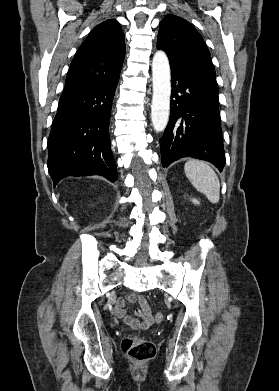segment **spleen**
Masks as SVG:
<instances>
[{
	"mask_svg": "<svg viewBox=\"0 0 279 391\" xmlns=\"http://www.w3.org/2000/svg\"><path fill=\"white\" fill-rule=\"evenodd\" d=\"M186 177L192 185L203 193L211 203H218L220 182L209 164L200 160H189L184 166Z\"/></svg>",
	"mask_w": 279,
	"mask_h": 391,
	"instance_id": "spleen-1",
	"label": "spleen"
}]
</instances>
